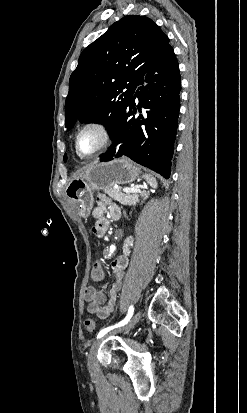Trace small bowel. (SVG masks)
Here are the masks:
<instances>
[{
  "label": "small bowel",
  "mask_w": 247,
  "mask_h": 413,
  "mask_svg": "<svg viewBox=\"0 0 247 413\" xmlns=\"http://www.w3.org/2000/svg\"><path fill=\"white\" fill-rule=\"evenodd\" d=\"M96 207L92 212L94 218L93 231L101 236L108 229L110 221L119 219L121 212L119 206L107 195L100 194L96 199ZM133 245V238L129 237L122 245L123 254L112 262L111 272L113 284L109 292L110 299L106 301L104 292L94 287H87L85 290V300L88 302L87 310L100 319H107L115 308L117 293L121 290L125 270L129 264L130 248ZM105 277H101V283Z\"/></svg>",
  "instance_id": "obj_1"
}]
</instances>
